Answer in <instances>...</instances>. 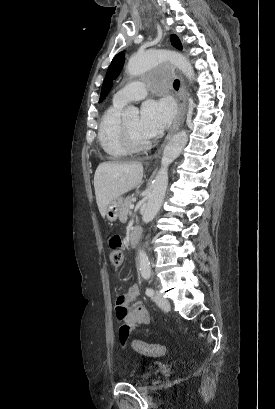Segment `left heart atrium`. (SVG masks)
I'll use <instances>...</instances> for the list:
<instances>
[{
	"instance_id": "1",
	"label": "left heart atrium",
	"mask_w": 275,
	"mask_h": 409,
	"mask_svg": "<svg viewBox=\"0 0 275 409\" xmlns=\"http://www.w3.org/2000/svg\"><path fill=\"white\" fill-rule=\"evenodd\" d=\"M172 118L173 108L169 104L149 100L141 109L140 130L148 138H155L169 126Z\"/></svg>"
}]
</instances>
